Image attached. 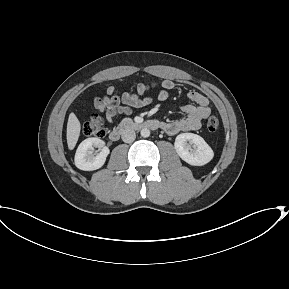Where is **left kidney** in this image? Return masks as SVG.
I'll return each instance as SVG.
<instances>
[{"mask_svg": "<svg viewBox=\"0 0 289 289\" xmlns=\"http://www.w3.org/2000/svg\"><path fill=\"white\" fill-rule=\"evenodd\" d=\"M174 146L180 158L193 166L205 165L214 156L211 147L197 134H179L175 139Z\"/></svg>", "mask_w": 289, "mask_h": 289, "instance_id": "left-kidney-1", "label": "left kidney"}]
</instances>
